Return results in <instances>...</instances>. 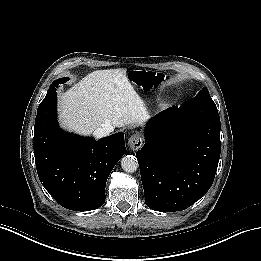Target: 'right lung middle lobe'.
Here are the masks:
<instances>
[{
    "mask_svg": "<svg viewBox=\"0 0 261 261\" xmlns=\"http://www.w3.org/2000/svg\"><path fill=\"white\" fill-rule=\"evenodd\" d=\"M68 80H69V78H62V79H58V80L54 81V82L52 83V85L50 86L46 97H48V96L55 90L54 88H56L57 85L63 84V83H65V82H67ZM46 97H45V98H46Z\"/></svg>",
    "mask_w": 261,
    "mask_h": 261,
    "instance_id": "1",
    "label": "right lung middle lobe"
}]
</instances>
